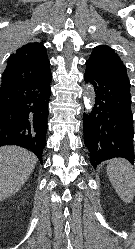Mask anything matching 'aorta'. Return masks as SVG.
<instances>
[{
	"instance_id": "obj_1",
	"label": "aorta",
	"mask_w": 135,
	"mask_h": 249,
	"mask_svg": "<svg viewBox=\"0 0 135 249\" xmlns=\"http://www.w3.org/2000/svg\"><path fill=\"white\" fill-rule=\"evenodd\" d=\"M83 99L87 109L91 110L95 102V92L92 87L85 86Z\"/></svg>"
}]
</instances>
